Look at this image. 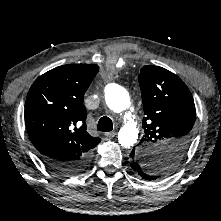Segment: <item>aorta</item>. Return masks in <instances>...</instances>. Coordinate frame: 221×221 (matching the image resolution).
Here are the masks:
<instances>
[{"instance_id":"obj_1","label":"aorta","mask_w":221,"mask_h":221,"mask_svg":"<svg viewBox=\"0 0 221 221\" xmlns=\"http://www.w3.org/2000/svg\"><path fill=\"white\" fill-rule=\"evenodd\" d=\"M105 100L107 106L115 113L127 110L130 106V99L127 91L117 85L109 84L105 88ZM128 121L120 129L118 133L119 144L124 148L132 147L138 139V128L131 117H127Z\"/></svg>"}]
</instances>
